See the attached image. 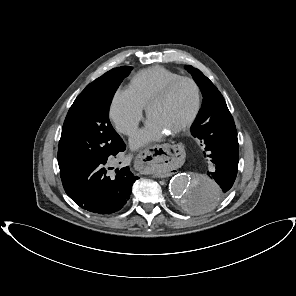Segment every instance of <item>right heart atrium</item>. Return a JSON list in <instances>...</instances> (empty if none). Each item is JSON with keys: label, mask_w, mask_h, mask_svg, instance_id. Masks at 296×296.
I'll return each instance as SVG.
<instances>
[{"label": "right heart atrium", "mask_w": 296, "mask_h": 296, "mask_svg": "<svg viewBox=\"0 0 296 296\" xmlns=\"http://www.w3.org/2000/svg\"><path fill=\"white\" fill-rule=\"evenodd\" d=\"M143 111L127 90H117L110 103L109 116L119 132L132 135L143 119Z\"/></svg>", "instance_id": "obj_1"}]
</instances>
